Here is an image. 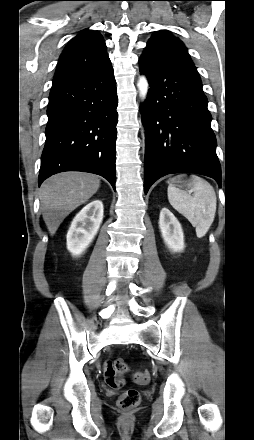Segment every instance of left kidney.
<instances>
[{
    "instance_id": "1",
    "label": "left kidney",
    "mask_w": 254,
    "mask_h": 440,
    "mask_svg": "<svg viewBox=\"0 0 254 440\" xmlns=\"http://www.w3.org/2000/svg\"><path fill=\"white\" fill-rule=\"evenodd\" d=\"M159 228L162 238L170 250L173 252L184 250V235L181 224L167 208H162L160 211Z\"/></svg>"
}]
</instances>
